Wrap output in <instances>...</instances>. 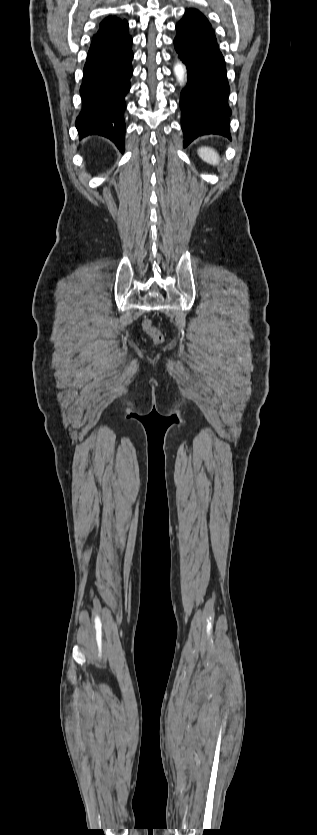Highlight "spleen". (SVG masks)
I'll use <instances>...</instances> for the list:
<instances>
[{
  "label": "spleen",
  "mask_w": 317,
  "mask_h": 835,
  "mask_svg": "<svg viewBox=\"0 0 317 835\" xmlns=\"http://www.w3.org/2000/svg\"><path fill=\"white\" fill-rule=\"evenodd\" d=\"M199 157L206 163L213 166L219 165L220 157L213 148L201 147L198 150Z\"/></svg>",
  "instance_id": "spleen-1"
}]
</instances>
